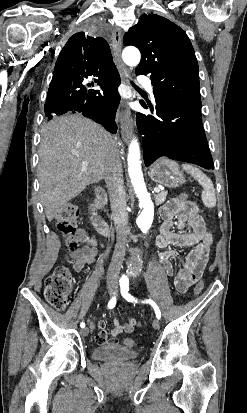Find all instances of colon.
Masks as SVG:
<instances>
[{
	"label": "colon",
	"instance_id": "5ec220e1",
	"mask_svg": "<svg viewBox=\"0 0 247 413\" xmlns=\"http://www.w3.org/2000/svg\"><path fill=\"white\" fill-rule=\"evenodd\" d=\"M180 204L186 207L193 205V200L186 195H179ZM78 207L76 204L65 205L57 214L55 222L58 232L65 238L69 252H73L82 237L77 232L75 222L78 220ZM203 280L200 277L199 283L195 287V294L199 295L203 289ZM44 294L48 303L57 310H63L69 303L72 294V278L70 268L67 265L57 266L53 269L44 281ZM126 347H135L136 342L131 338L124 340Z\"/></svg>",
	"mask_w": 247,
	"mask_h": 413
}]
</instances>
